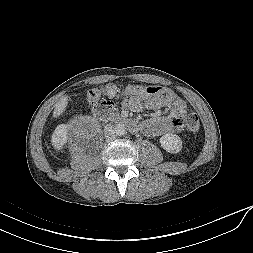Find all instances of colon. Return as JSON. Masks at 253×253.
<instances>
[{
    "label": "colon",
    "mask_w": 253,
    "mask_h": 253,
    "mask_svg": "<svg viewBox=\"0 0 253 253\" xmlns=\"http://www.w3.org/2000/svg\"><path fill=\"white\" fill-rule=\"evenodd\" d=\"M164 91L161 86H141V85H129L127 86L123 93L125 96H156L160 95ZM119 88L114 84H108L103 88H93L89 90L87 98L90 102H97L102 95H106L108 98L112 99L119 95ZM186 126L191 131H197L200 127L199 117L195 113H191L186 118Z\"/></svg>",
    "instance_id": "5ec220e1"
}]
</instances>
